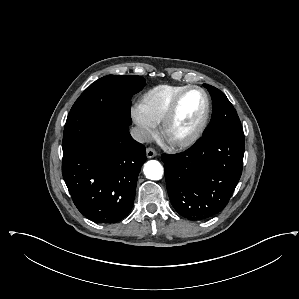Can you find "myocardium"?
I'll list each match as a JSON object with an SVG mask.
<instances>
[{
	"mask_svg": "<svg viewBox=\"0 0 299 299\" xmlns=\"http://www.w3.org/2000/svg\"><path fill=\"white\" fill-rule=\"evenodd\" d=\"M190 91H199L204 98V112L197 126L186 136L176 139L171 136V128L179 110L180 103L184 96ZM211 110L210 98L207 92L199 86H187L181 90L173 99L170 104L162 122H161V134L164 142L175 149H184L193 145L204 132Z\"/></svg>",
	"mask_w": 299,
	"mask_h": 299,
	"instance_id": "f54148a6",
	"label": "myocardium"
}]
</instances>
